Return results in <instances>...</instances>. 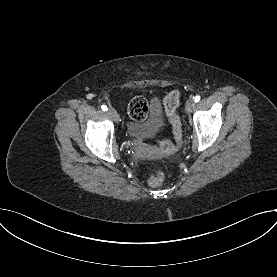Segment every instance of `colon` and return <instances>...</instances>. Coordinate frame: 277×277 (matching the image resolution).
<instances>
[{
  "mask_svg": "<svg viewBox=\"0 0 277 277\" xmlns=\"http://www.w3.org/2000/svg\"><path fill=\"white\" fill-rule=\"evenodd\" d=\"M180 93L177 90L171 91L164 98L163 104L167 116L171 122L174 137L177 142L182 138V126L179 116L176 113V109L179 104ZM129 115L135 120H143L148 113L147 102L142 97H135L130 100L128 104ZM162 151L166 154H171L175 150V145L171 141H161L159 143ZM165 179L164 171L159 167L152 168L147 174V182L150 186H158L163 183Z\"/></svg>",
  "mask_w": 277,
  "mask_h": 277,
  "instance_id": "1",
  "label": "colon"
}]
</instances>
